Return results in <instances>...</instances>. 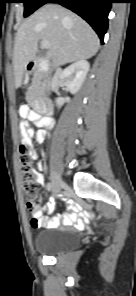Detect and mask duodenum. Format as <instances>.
<instances>
[{
    "instance_id": "obj_1",
    "label": "duodenum",
    "mask_w": 136,
    "mask_h": 296,
    "mask_svg": "<svg viewBox=\"0 0 136 296\" xmlns=\"http://www.w3.org/2000/svg\"><path fill=\"white\" fill-rule=\"evenodd\" d=\"M34 69H38L41 74H46L48 71L46 58L43 56H39L34 61L30 62L28 64V70L32 71ZM38 107L43 113V117H40V119L36 122V125L41 127H51L52 126L51 107L45 103H40Z\"/></svg>"
}]
</instances>
